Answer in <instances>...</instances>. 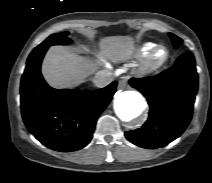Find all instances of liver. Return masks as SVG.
I'll return each mask as SVG.
<instances>
[{"instance_id": "obj_1", "label": "liver", "mask_w": 212, "mask_h": 183, "mask_svg": "<svg viewBox=\"0 0 212 183\" xmlns=\"http://www.w3.org/2000/svg\"><path fill=\"white\" fill-rule=\"evenodd\" d=\"M101 53L112 60L128 59L133 53V41L125 36L102 39ZM96 65L80 56L76 50L66 46L51 47L43 61L42 74L53 88H74L95 71Z\"/></svg>"}]
</instances>
